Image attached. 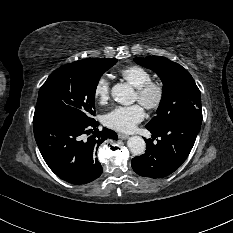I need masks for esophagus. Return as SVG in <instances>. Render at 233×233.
<instances>
[{"instance_id":"34e87169","label":"esophagus","mask_w":233,"mask_h":233,"mask_svg":"<svg viewBox=\"0 0 233 233\" xmlns=\"http://www.w3.org/2000/svg\"><path fill=\"white\" fill-rule=\"evenodd\" d=\"M118 137H119V139H121V140H126V139L129 138V135H125V134L119 133V134H118Z\"/></svg>"}]
</instances>
